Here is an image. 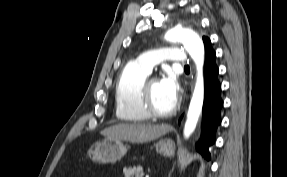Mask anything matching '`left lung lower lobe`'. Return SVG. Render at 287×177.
Masks as SVG:
<instances>
[{
  "mask_svg": "<svg viewBox=\"0 0 287 177\" xmlns=\"http://www.w3.org/2000/svg\"><path fill=\"white\" fill-rule=\"evenodd\" d=\"M204 104L202 133L196 144V150L207 160H210L209 148L215 143L216 131L221 124V84L218 80V67L216 65V53L212 48L210 39L204 42ZM181 120V119H180Z\"/></svg>",
  "mask_w": 287,
  "mask_h": 177,
  "instance_id": "left-lung-lower-lobe-1",
  "label": "left lung lower lobe"
}]
</instances>
